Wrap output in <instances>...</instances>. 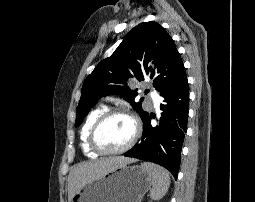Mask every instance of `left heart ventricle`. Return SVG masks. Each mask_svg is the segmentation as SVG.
Returning <instances> with one entry per match:
<instances>
[{
  "instance_id": "1",
  "label": "left heart ventricle",
  "mask_w": 255,
  "mask_h": 202,
  "mask_svg": "<svg viewBox=\"0 0 255 202\" xmlns=\"http://www.w3.org/2000/svg\"><path fill=\"white\" fill-rule=\"evenodd\" d=\"M134 127L125 116L109 118L99 129L98 144L106 150H117L125 146L132 138Z\"/></svg>"
}]
</instances>
